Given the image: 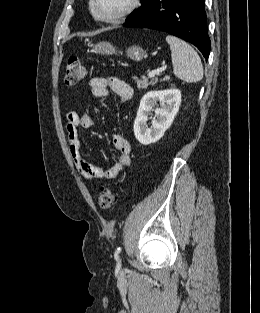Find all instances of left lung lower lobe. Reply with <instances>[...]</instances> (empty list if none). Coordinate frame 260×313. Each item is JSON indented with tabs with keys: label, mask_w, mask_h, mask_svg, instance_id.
Masks as SVG:
<instances>
[{
	"label": "left lung lower lobe",
	"mask_w": 260,
	"mask_h": 313,
	"mask_svg": "<svg viewBox=\"0 0 260 313\" xmlns=\"http://www.w3.org/2000/svg\"><path fill=\"white\" fill-rule=\"evenodd\" d=\"M123 26L173 34L195 45L206 59L209 56L211 43L204 0H150Z\"/></svg>",
	"instance_id": "0a47b994"
}]
</instances>
